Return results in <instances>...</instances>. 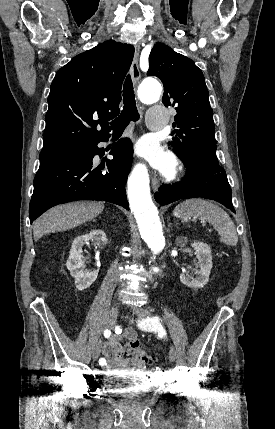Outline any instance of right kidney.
<instances>
[{
	"label": "right kidney",
	"mask_w": 275,
	"mask_h": 429,
	"mask_svg": "<svg viewBox=\"0 0 275 429\" xmlns=\"http://www.w3.org/2000/svg\"><path fill=\"white\" fill-rule=\"evenodd\" d=\"M90 242L99 248H104L108 240L102 230H93L89 234L78 236L72 243L69 258L66 262L70 275L75 279V285L79 290L90 287L98 276V270H84L85 259L81 254L82 247Z\"/></svg>",
	"instance_id": "obj_1"
}]
</instances>
